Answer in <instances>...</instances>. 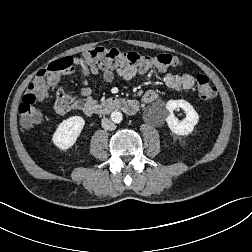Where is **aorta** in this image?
<instances>
[{
  "instance_id": "762f6f07",
  "label": "aorta",
  "mask_w": 252,
  "mask_h": 252,
  "mask_svg": "<svg viewBox=\"0 0 252 252\" xmlns=\"http://www.w3.org/2000/svg\"><path fill=\"white\" fill-rule=\"evenodd\" d=\"M111 119L115 123H121L123 120V114L119 110H115L111 113Z\"/></svg>"
}]
</instances>
